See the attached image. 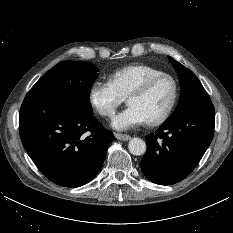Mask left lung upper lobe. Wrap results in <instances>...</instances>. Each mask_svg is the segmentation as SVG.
Listing matches in <instances>:
<instances>
[{
	"label": "left lung upper lobe",
	"mask_w": 233,
	"mask_h": 233,
	"mask_svg": "<svg viewBox=\"0 0 233 233\" xmlns=\"http://www.w3.org/2000/svg\"><path fill=\"white\" fill-rule=\"evenodd\" d=\"M169 60L177 71L181 93L176 109L166 121L174 120L193 108L211 104L209 95L196 75L170 56Z\"/></svg>",
	"instance_id": "left-lung-upper-lobe-1"
}]
</instances>
